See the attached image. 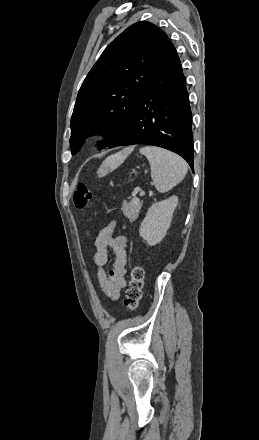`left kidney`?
<instances>
[{"instance_id": "1", "label": "left kidney", "mask_w": 259, "mask_h": 440, "mask_svg": "<svg viewBox=\"0 0 259 440\" xmlns=\"http://www.w3.org/2000/svg\"><path fill=\"white\" fill-rule=\"evenodd\" d=\"M177 203L178 197L172 196L151 205L139 229L148 245L154 246L165 237Z\"/></svg>"}]
</instances>
